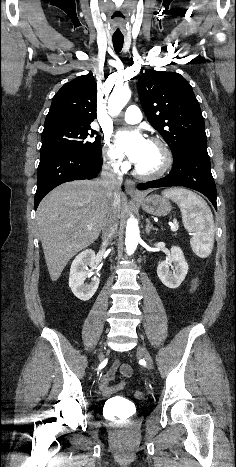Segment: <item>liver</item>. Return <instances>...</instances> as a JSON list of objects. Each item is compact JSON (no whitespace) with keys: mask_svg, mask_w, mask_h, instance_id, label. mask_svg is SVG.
Returning <instances> with one entry per match:
<instances>
[{"mask_svg":"<svg viewBox=\"0 0 236 467\" xmlns=\"http://www.w3.org/2000/svg\"><path fill=\"white\" fill-rule=\"evenodd\" d=\"M112 201L101 180H76L56 187L40 202L36 222L52 281L74 255L98 238ZM115 201L119 216V192Z\"/></svg>","mask_w":236,"mask_h":467,"instance_id":"1","label":"liver"}]
</instances>
